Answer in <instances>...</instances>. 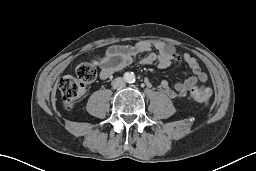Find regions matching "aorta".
<instances>
[{
  "label": "aorta",
  "mask_w": 256,
  "mask_h": 171,
  "mask_svg": "<svg viewBox=\"0 0 256 171\" xmlns=\"http://www.w3.org/2000/svg\"><path fill=\"white\" fill-rule=\"evenodd\" d=\"M125 80L129 83H132L135 81V75L133 73H127L125 75Z\"/></svg>",
  "instance_id": "aorta-1"
}]
</instances>
